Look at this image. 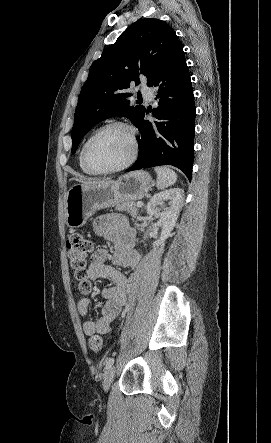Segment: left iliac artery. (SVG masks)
Masks as SVG:
<instances>
[{"instance_id": "1", "label": "left iliac artery", "mask_w": 271, "mask_h": 443, "mask_svg": "<svg viewBox=\"0 0 271 443\" xmlns=\"http://www.w3.org/2000/svg\"><path fill=\"white\" fill-rule=\"evenodd\" d=\"M113 363H114V358H109L106 362L105 370L106 371L109 370L112 367Z\"/></svg>"}]
</instances>
